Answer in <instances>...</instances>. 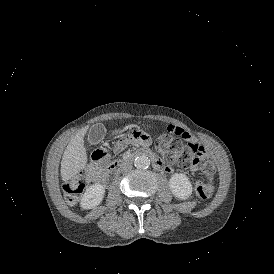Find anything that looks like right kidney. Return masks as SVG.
<instances>
[{"label":"right kidney","instance_id":"1","mask_svg":"<svg viewBox=\"0 0 274 274\" xmlns=\"http://www.w3.org/2000/svg\"><path fill=\"white\" fill-rule=\"evenodd\" d=\"M105 188L100 184H93L86 188L80 206L83 209H93L98 206L104 197Z\"/></svg>","mask_w":274,"mask_h":274}]
</instances>
